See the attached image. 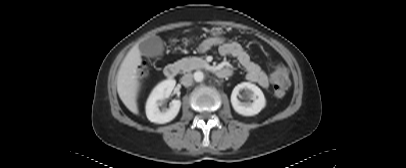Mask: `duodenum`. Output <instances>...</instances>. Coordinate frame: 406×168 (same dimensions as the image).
<instances>
[{
	"instance_id": "obj_1",
	"label": "duodenum",
	"mask_w": 406,
	"mask_h": 168,
	"mask_svg": "<svg viewBox=\"0 0 406 168\" xmlns=\"http://www.w3.org/2000/svg\"><path fill=\"white\" fill-rule=\"evenodd\" d=\"M179 73V66L177 64H169L164 69V75L167 78H174ZM215 75L220 79H225L231 75L229 69H215Z\"/></svg>"
}]
</instances>
